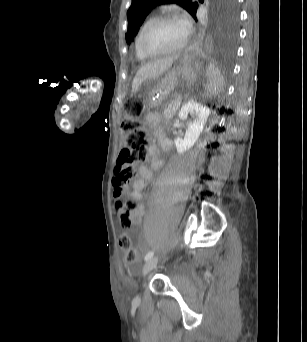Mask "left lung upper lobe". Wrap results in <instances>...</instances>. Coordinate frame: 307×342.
Listing matches in <instances>:
<instances>
[{
    "mask_svg": "<svg viewBox=\"0 0 307 342\" xmlns=\"http://www.w3.org/2000/svg\"><path fill=\"white\" fill-rule=\"evenodd\" d=\"M204 0H199L203 2ZM216 28L217 40L220 50L227 55L234 51L237 39L238 10L236 0H216ZM177 3L186 9L195 20L198 3L192 0H132V5L127 12L128 32L126 40L131 42L139 27L150 10L159 4Z\"/></svg>",
    "mask_w": 307,
    "mask_h": 342,
    "instance_id": "left-lung-upper-lobe-1",
    "label": "left lung upper lobe"
}]
</instances>
